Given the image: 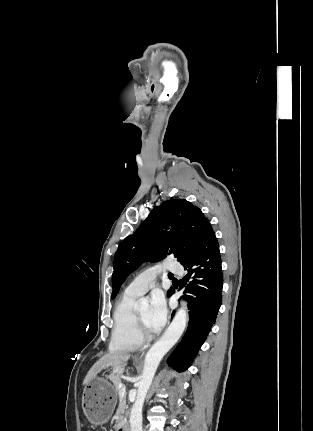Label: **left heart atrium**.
<instances>
[{
	"label": "left heart atrium",
	"mask_w": 313,
	"mask_h": 431,
	"mask_svg": "<svg viewBox=\"0 0 313 431\" xmlns=\"http://www.w3.org/2000/svg\"><path fill=\"white\" fill-rule=\"evenodd\" d=\"M167 319V307L163 295L155 292L151 297L149 326L152 331H159Z\"/></svg>",
	"instance_id": "1"
}]
</instances>
